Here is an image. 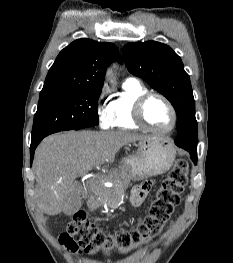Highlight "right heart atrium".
<instances>
[{
	"instance_id": "1",
	"label": "right heart atrium",
	"mask_w": 233,
	"mask_h": 263,
	"mask_svg": "<svg viewBox=\"0 0 233 263\" xmlns=\"http://www.w3.org/2000/svg\"><path fill=\"white\" fill-rule=\"evenodd\" d=\"M106 94V89H101L96 102V112L99 126L105 130L112 128L113 122L110 103L107 101Z\"/></svg>"
}]
</instances>
